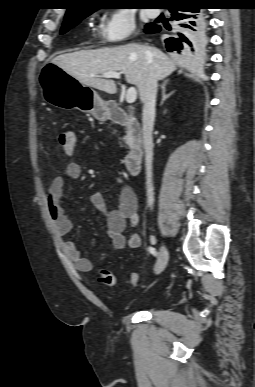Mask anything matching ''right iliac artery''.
<instances>
[{"label": "right iliac artery", "mask_w": 255, "mask_h": 387, "mask_svg": "<svg viewBox=\"0 0 255 387\" xmlns=\"http://www.w3.org/2000/svg\"><path fill=\"white\" fill-rule=\"evenodd\" d=\"M148 250H149V252H150L152 255L157 256V251H156L155 248H153V247L150 246V247L148 248Z\"/></svg>", "instance_id": "1"}]
</instances>
